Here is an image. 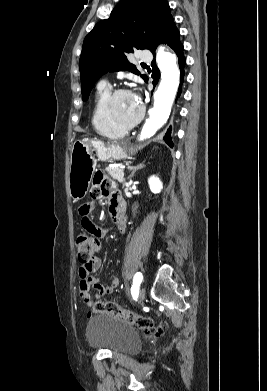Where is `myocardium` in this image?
I'll return each instance as SVG.
<instances>
[{
  "instance_id": "1",
  "label": "myocardium",
  "mask_w": 267,
  "mask_h": 391,
  "mask_svg": "<svg viewBox=\"0 0 267 391\" xmlns=\"http://www.w3.org/2000/svg\"><path fill=\"white\" fill-rule=\"evenodd\" d=\"M125 93L131 94V92L125 88H118V89L111 91L109 96L106 99V102H105V113H106V116L109 119V121L114 126L120 128L122 130L128 131V130L134 128L135 126H137L142 121V119L144 117L145 110H144L143 106H140V111H139L138 116L129 123H123V122L119 121L114 114V102L118 96L125 94Z\"/></svg>"
}]
</instances>
